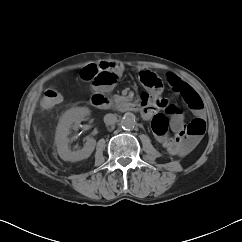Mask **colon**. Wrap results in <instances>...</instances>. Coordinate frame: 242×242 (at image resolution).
<instances>
[{
	"mask_svg": "<svg viewBox=\"0 0 242 242\" xmlns=\"http://www.w3.org/2000/svg\"><path fill=\"white\" fill-rule=\"evenodd\" d=\"M80 78L86 82H92L94 86H108L118 79L116 72L98 66L96 64H89L85 66L80 72ZM143 86L147 91L157 94L162 86L161 81L154 73H145L140 78ZM173 86H178L174 83ZM175 92L179 93L191 109L199 108L201 106V99L199 95L189 85H181ZM146 95L149 93H145ZM144 94V95H145ZM63 100L62 93L55 88H48L42 98V105L45 108H53L60 104ZM194 130H190L192 134L203 135L205 132L204 126L200 122H194ZM152 128L156 135L164 136L168 131V123L162 114H157L152 120Z\"/></svg>",
	"mask_w": 242,
	"mask_h": 242,
	"instance_id": "colon-1",
	"label": "colon"
}]
</instances>
